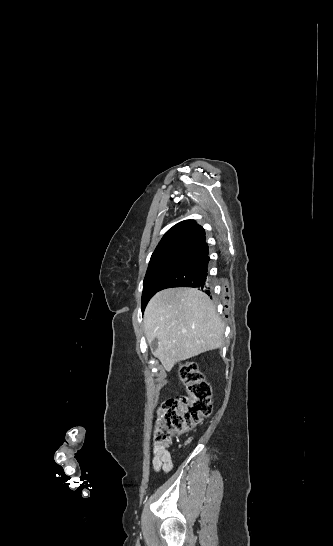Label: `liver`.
<instances>
[{"label": "liver", "mask_w": 333, "mask_h": 546, "mask_svg": "<svg viewBox=\"0 0 333 546\" xmlns=\"http://www.w3.org/2000/svg\"><path fill=\"white\" fill-rule=\"evenodd\" d=\"M148 343L157 338L154 355L173 366L222 346L224 325L209 296L196 288H169L156 293L144 313Z\"/></svg>", "instance_id": "6515ba94"}]
</instances>
